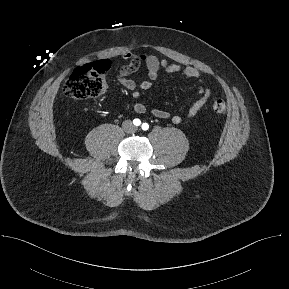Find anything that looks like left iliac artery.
Listing matches in <instances>:
<instances>
[{"mask_svg":"<svg viewBox=\"0 0 289 289\" xmlns=\"http://www.w3.org/2000/svg\"><path fill=\"white\" fill-rule=\"evenodd\" d=\"M148 128H149V125L147 123H143L142 124V129L143 130H148Z\"/></svg>","mask_w":289,"mask_h":289,"instance_id":"obj_1","label":"left iliac artery"}]
</instances>
